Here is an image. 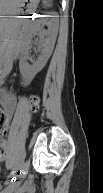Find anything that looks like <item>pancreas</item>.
Listing matches in <instances>:
<instances>
[{"label":"pancreas","instance_id":"pancreas-1","mask_svg":"<svg viewBox=\"0 0 103 193\" xmlns=\"http://www.w3.org/2000/svg\"><path fill=\"white\" fill-rule=\"evenodd\" d=\"M17 25H18V23H16V22L13 24L14 27H16ZM16 44H17V46H16L15 51H16V53H18L20 50V47H21V40L19 39Z\"/></svg>","mask_w":103,"mask_h":193}]
</instances>
